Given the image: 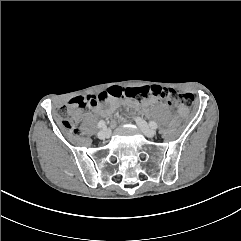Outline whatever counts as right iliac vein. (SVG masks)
<instances>
[{
	"label": "right iliac vein",
	"instance_id": "obj_1",
	"mask_svg": "<svg viewBox=\"0 0 241 241\" xmlns=\"http://www.w3.org/2000/svg\"><path fill=\"white\" fill-rule=\"evenodd\" d=\"M110 135L109 130L108 129H103L98 133V138L100 139H105L108 138Z\"/></svg>",
	"mask_w": 241,
	"mask_h": 241
}]
</instances>
